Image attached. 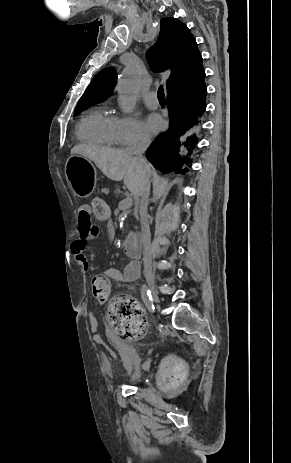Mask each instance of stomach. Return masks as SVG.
I'll return each mask as SVG.
<instances>
[{
    "instance_id": "obj_1",
    "label": "stomach",
    "mask_w": 291,
    "mask_h": 463,
    "mask_svg": "<svg viewBox=\"0 0 291 463\" xmlns=\"http://www.w3.org/2000/svg\"><path fill=\"white\" fill-rule=\"evenodd\" d=\"M95 168L91 161L81 155L73 154L65 165V175L73 193L80 197H88L95 188Z\"/></svg>"
}]
</instances>
